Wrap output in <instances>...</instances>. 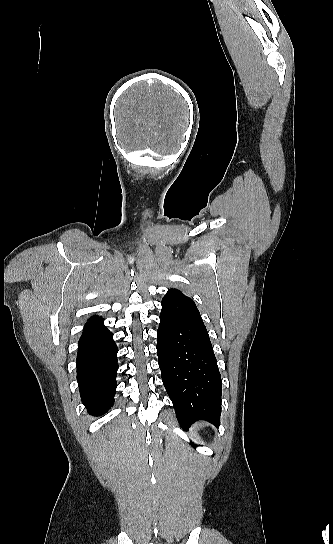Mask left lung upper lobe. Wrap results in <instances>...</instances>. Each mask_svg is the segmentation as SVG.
<instances>
[{"mask_svg": "<svg viewBox=\"0 0 333 544\" xmlns=\"http://www.w3.org/2000/svg\"><path fill=\"white\" fill-rule=\"evenodd\" d=\"M168 293L183 294V293H182L180 290H178V289H170V290L168 291ZM168 293H167V294H168ZM164 297H165V296H164Z\"/></svg>", "mask_w": 333, "mask_h": 544, "instance_id": "1", "label": "left lung upper lobe"}]
</instances>
